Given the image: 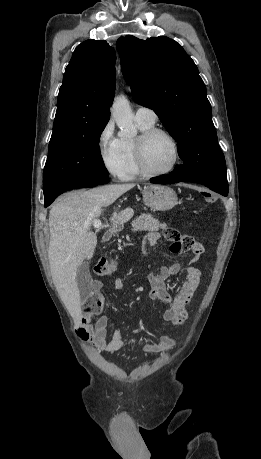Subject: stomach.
<instances>
[{
	"label": "stomach",
	"instance_id": "0dacf381",
	"mask_svg": "<svg viewBox=\"0 0 261 459\" xmlns=\"http://www.w3.org/2000/svg\"><path fill=\"white\" fill-rule=\"evenodd\" d=\"M143 200L152 211H168L178 203L176 192L163 185L145 186Z\"/></svg>",
	"mask_w": 261,
	"mask_h": 459
}]
</instances>
